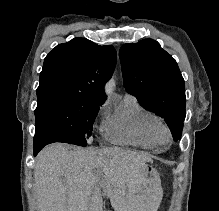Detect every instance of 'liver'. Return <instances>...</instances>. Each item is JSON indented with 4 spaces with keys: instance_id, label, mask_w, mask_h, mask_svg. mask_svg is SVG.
<instances>
[{
    "instance_id": "6515ba94",
    "label": "liver",
    "mask_w": 219,
    "mask_h": 211,
    "mask_svg": "<svg viewBox=\"0 0 219 211\" xmlns=\"http://www.w3.org/2000/svg\"><path fill=\"white\" fill-rule=\"evenodd\" d=\"M151 157L122 147L68 149L51 143L34 167L38 211H103L102 193L115 211H150V181L143 167Z\"/></svg>"
}]
</instances>
